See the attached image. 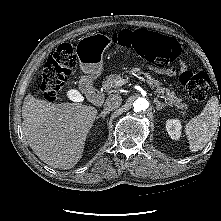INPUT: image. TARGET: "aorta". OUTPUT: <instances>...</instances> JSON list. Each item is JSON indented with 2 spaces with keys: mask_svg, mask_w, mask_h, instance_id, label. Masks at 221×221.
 Masks as SVG:
<instances>
[{
  "mask_svg": "<svg viewBox=\"0 0 221 221\" xmlns=\"http://www.w3.org/2000/svg\"><path fill=\"white\" fill-rule=\"evenodd\" d=\"M149 107V102L145 98H138L133 102L135 112L145 111Z\"/></svg>",
  "mask_w": 221,
  "mask_h": 221,
  "instance_id": "obj_1",
  "label": "aorta"
}]
</instances>
